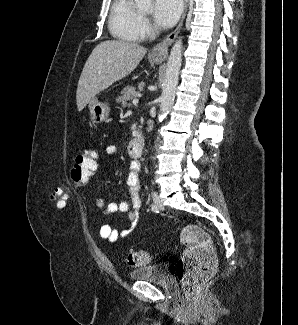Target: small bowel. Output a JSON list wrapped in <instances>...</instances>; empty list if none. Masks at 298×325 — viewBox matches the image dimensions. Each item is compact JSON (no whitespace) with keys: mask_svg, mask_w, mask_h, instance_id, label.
<instances>
[{"mask_svg":"<svg viewBox=\"0 0 298 325\" xmlns=\"http://www.w3.org/2000/svg\"><path fill=\"white\" fill-rule=\"evenodd\" d=\"M105 154L107 157H115L117 154V147L115 145H108L105 148ZM139 171L140 163L137 160H132L129 166V174L127 178V185L129 187L131 203L127 201L106 203V200L102 196L95 197V205L100 208L103 217H108L115 212L125 213L127 215L128 223L122 230L114 229L110 224H104L101 226L99 234L104 240L111 243L116 242L120 238H124L129 235L137 226L142 208V201L139 195L140 183H139Z\"/></svg>","mask_w":298,"mask_h":325,"instance_id":"1","label":"small bowel"}]
</instances>
